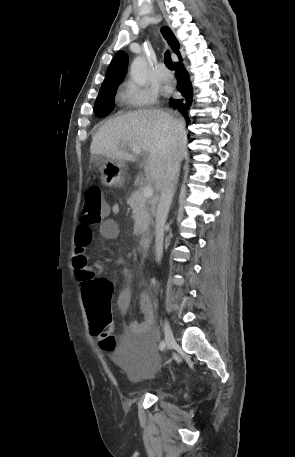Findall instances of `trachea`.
<instances>
[{
	"label": "trachea",
	"mask_w": 295,
	"mask_h": 457,
	"mask_svg": "<svg viewBox=\"0 0 295 457\" xmlns=\"http://www.w3.org/2000/svg\"><path fill=\"white\" fill-rule=\"evenodd\" d=\"M164 63L167 66V68H169L170 70L174 69V65H173V62L171 60V55H170V52L168 50L165 52V55H164Z\"/></svg>",
	"instance_id": "trachea-1"
}]
</instances>
